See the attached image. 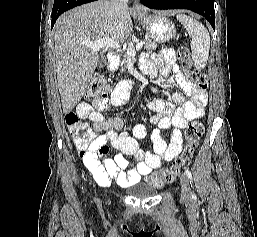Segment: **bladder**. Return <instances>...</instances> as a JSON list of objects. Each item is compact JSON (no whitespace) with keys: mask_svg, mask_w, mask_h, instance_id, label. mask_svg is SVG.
Segmentation results:
<instances>
[{"mask_svg":"<svg viewBox=\"0 0 257 237\" xmlns=\"http://www.w3.org/2000/svg\"><path fill=\"white\" fill-rule=\"evenodd\" d=\"M131 195L137 198H151L158 193V189L145 183L137 182L131 188Z\"/></svg>","mask_w":257,"mask_h":237,"instance_id":"bladder-1","label":"bladder"}]
</instances>
